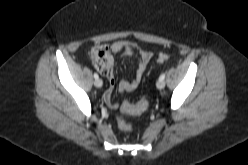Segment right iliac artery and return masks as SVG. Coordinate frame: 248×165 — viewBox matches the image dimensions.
I'll use <instances>...</instances> for the list:
<instances>
[{
    "label": "right iliac artery",
    "mask_w": 248,
    "mask_h": 165,
    "mask_svg": "<svg viewBox=\"0 0 248 165\" xmlns=\"http://www.w3.org/2000/svg\"><path fill=\"white\" fill-rule=\"evenodd\" d=\"M94 78H95V79H98V78H99V76H98L97 73H94Z\"/></svg>",
    "instance_id": "1"
}]
</instances>
